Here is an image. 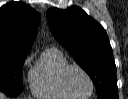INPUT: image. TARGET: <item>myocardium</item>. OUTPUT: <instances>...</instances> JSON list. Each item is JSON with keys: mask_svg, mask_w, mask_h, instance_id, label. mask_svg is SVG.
Here are the masks:
<instances>
[{"mask_svg": "<svg viewBox=\"0 0 128 99\" xmlns=\"http://www.w3.org/2000/svg\"><path fill=\"white\" fill-rule=\"evenodd\" d=\"M71 69H78L86 76V78L89 82V85H90V91L86 96H77L69 90V88L66 84V77H67L68 72ZM60 85H61L62 89L64 90V92H66L69 96L77 98V99L89 98L92 96V94L94 92V83H93V80H92L90 74L82 66H80L78 64H68L63 68V70L60 73Z\"/></svg>", "mask_w": 128, "mask_h": 99, "instance_id": "1", "label": "myocardium"}]
</instances>
